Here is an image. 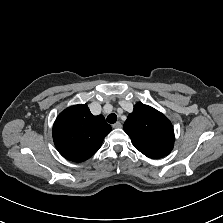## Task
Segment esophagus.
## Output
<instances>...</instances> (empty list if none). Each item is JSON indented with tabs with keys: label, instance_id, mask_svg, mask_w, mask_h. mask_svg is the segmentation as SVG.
I'll list each match as a JSON object with an SVG mask.
<instances>
[{
	"label": "esophagus",
	"instance_id": "1",
	"mask_svg": "<svg viewBox=\"0 0 223 223\" xmlns=\"http://www.w3.org/2000/svg\"><path fill=\"white\" fill-rule=\"evenodd\" d=\"M113 128H120L122 127V124L120 122H116L112 125Z\"/></svg>",
	"mask_w": 223,
	"mask_h": 223
}]
</instances>
